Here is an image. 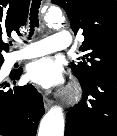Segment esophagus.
<instances>
[{
  "label": "esophagus",
  "instance_id": "1",
  "mask_svg": "<svg viewBox=\"0 0 117 136\" xmlns=\"http://www.w3.org/2000/svg\"><path fill=\"white\" fill-rule=\"evenodd\" d=\"M51 103L52 101L48 97L44 96V107L46 110L49 109V107L51 106Z\"/></svg>",
  "mask_w": 117,
  "mask_h": 136
}]
</instances>
